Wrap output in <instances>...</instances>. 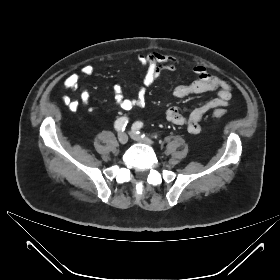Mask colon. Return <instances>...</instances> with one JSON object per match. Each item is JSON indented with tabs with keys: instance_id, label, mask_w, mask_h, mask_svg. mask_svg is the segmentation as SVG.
I'll return each mask as SVG.
<instances>
[{
	"instance_id": "1",
	"label": "colon",
	"mask_w": 280,
	"mask_h": 280,
	"mask_svg": "<svg viewBox=\"0 0 280 280\" xmlns=\"http://www.w3.org/2000/svg\"><path fill=\"white\" fill-rule=\"evenodd\" d=\"M213 115L217 118L223 117L225 115V112L223 110H215L213 112Z\"/></svg>"
}]
</instances>
